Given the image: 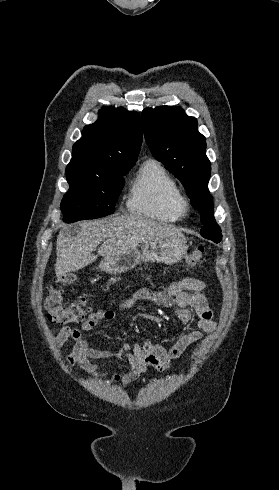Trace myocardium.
<instances>
[{"instance_id": "myocardium-1", "label": "myocardium", "mask_w": 279, "mask_h": 490, "mask_svg": "<svg viewBox=\"0 0 279 490\" xmlns=\"http://www.w3.org/2000/svg\"><path fill=\"white\" fill-rule=\"evenodd\" d=\"M183 208H184V210H185V211H186V210H187V208H188V204H187V202H186V201H185V203L183 204Z\"/></svg>"}]
</instances>
